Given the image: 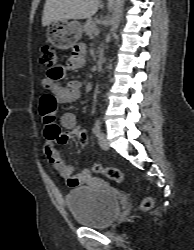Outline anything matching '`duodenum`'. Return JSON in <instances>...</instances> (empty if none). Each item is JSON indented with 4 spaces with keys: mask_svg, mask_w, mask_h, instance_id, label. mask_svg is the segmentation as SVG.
Masks as SVG:
<instances>
[{
    "mask_svg": "<svg viewBox=\"0 0 194 250\" xmlns=\"http://www.w3.org/2000/svg\"><path fill=\"white\" fill-rule=\"evenodd\" d=\"M104 65V57L100 55L97 60V69H101Z\"/></svg>",
    "mask_w": 194,
    "mask_h": 250,
    "instance_id": "1",
    "label": "duodenum"
}]
</instances>
